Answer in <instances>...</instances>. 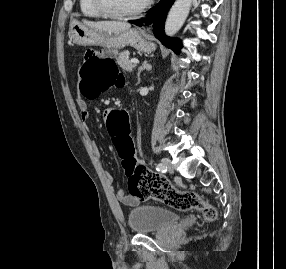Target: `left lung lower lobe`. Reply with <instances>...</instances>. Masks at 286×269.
<instances>
[{
	"label": "left lung lower lobe",
	"instance_id": "0a47b994",
	"mask_svg": "<svg viewBox=\"0 0 286 269\" xmlns=\"http://www.w3.org/2000/svg\"><path fill=\"white\" fill-rule=\"evenodd\" d=\"M175 0H160L157 6L153 7L148 11L149 15L147 19L144 20H134L130 23L140 26L141 23H153V33L155 37L158 38L165 46L174 50V52L179 53L182 47L181 41L179 39L169 38L164 33V23L166 20L167 12Z\"/></svg>",
	"mask_w": 286,
	"mask_h": 269
}]
</instances>
